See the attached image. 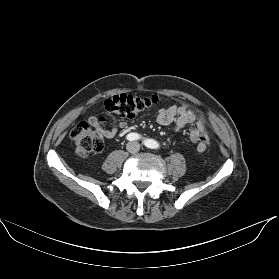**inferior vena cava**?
Listing matches in <instances>:
<instances>
[{"label": "inferior vena cava", "mask_w": 279, "mask_h": 279, "mask_svg": "<svg viewBox=\"0 0 279 279\" xmlns=\"http://www.w3.org/2000/svg\"><path fill=\"white\" fill-rule=\"evenodd\" d=\"M127 149H128L129 152L135 153L140 149V144L137 143V142L128 143Z\"/></svg>", "instance_id": "602c4592"}]
</instances>
